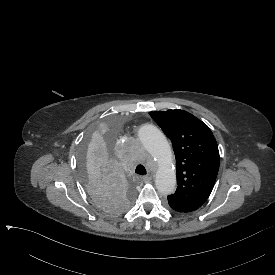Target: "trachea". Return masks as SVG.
<instances>
[{"label":"trachea","mask_w":275,"mask_h":275,"mask_svg":"<svg viewBox=\"0 0 275 275\" xmlns=\"http://www.w3.org/2000/svg\"><path fill=\"white\" fill-rule=\"evenodd\" d=\"M136 173L139 174V175H145L146 174V169L144 166L142 165H138L136 167Z\"/></svg>","instance_id":"3493384b"}]
</instances>
